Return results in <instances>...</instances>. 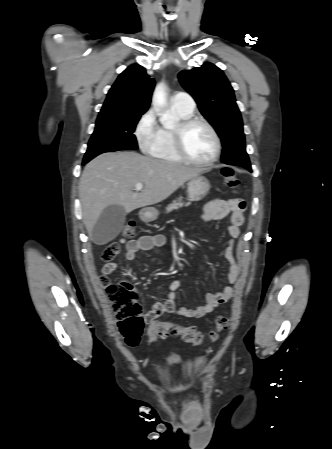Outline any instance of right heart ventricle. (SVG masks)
<instances>
[{
    "mask_svg": "<svg viewBox=\"0 0 332 449\" xmlns=\"http://www.w3.org/2000/svg\"><path fill=\"white\" fill-rule=\"evenodd\" d=\"M172 111L177 118V120H182L188 117H191L192 112L183 110L181 108L175 107L172 105ZM149 154L157 159L170 161V162H179L182 161L180 157L176 154L173 146V136H172V128L169 127H160L157 139L154 145L149 150Z\"/></svg>",
    "mask_w": 332,
    "mask_h": 449,
    "instance_id": "obj_1",
    "label": "right heart ventricle"
}]
</instances>
